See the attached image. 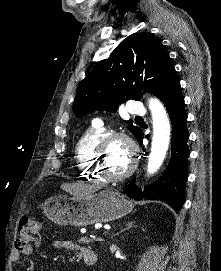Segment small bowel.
Instances as JSON below:
<instances>
[{"instance_id":"c3829d8e","label":"small bowel","mask_w":221,"mask_h":271,"mask_svg":"<svg viewBox=\"0 0 221 271\" xmlns=\"http://www.w3.org/2000/svg\"><path fill=\"white\" fill-rule=\"evenodd\" d=\"M41 241L36 240L35 246H40ZM53 247L57 250H67L76 252L80 255H82L84 258L86 256L94 255L96 256V253L89 249L88 247L78 244L70 239H55L53 241ZM33 252V246L29 245L28 247L24 249H15L12 252V260L17 261L22 255H30Z\"/></svg>"}]
</instances>
